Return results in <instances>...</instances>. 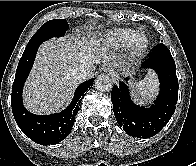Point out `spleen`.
<instances>
[{
    "instance_id": "3e777b00",
    "label": "spleen",
    "mask_w": 196,
    "mask_h": 166,
    "mask_svg": "<svg viewBox=\"0 0 196 166\" xmlns=\"http://www.w3.org/2000/svg\"><path fill=\"white\" fill-rule=\"evenodd\" d=\"M156 89V76L153 72H149L144 80H141L136 84L133 94L141 100H150L154 97Z\"/></svg>"
}]
</instances>
